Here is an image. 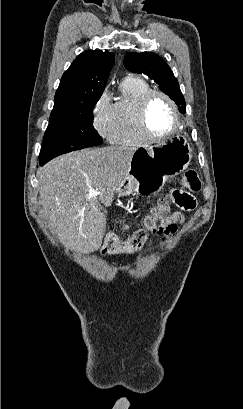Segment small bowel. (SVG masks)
<instances>
[{"label":"small bowel","instance_id":"1","mask_svg":"<svg viewBox=\"0 0 243 409\" xmlns=\"http://www.w3.org/2000/svg\"><path fill=\"white\" fill-rule=\"evenodd\" d=\"M175 192H177V189L171 190V194H173V193H175ZM184 195H185V196L187 197V199L189 200L190 205H189V206H186V207H180V208L183 209V210H192V209H194L195 206H196V199H195L192 195H190V194H188V193H184ZM184 220H185L184 214H183L181 211H179V210L173 211V212L163 221V225H164V228H165L164 235H165V236H169V235L174 234V233L177 231V228H178V227H177V224L183 223Z\"/></svg>","mask_w":243,"mask_h":409}]
</instances>
